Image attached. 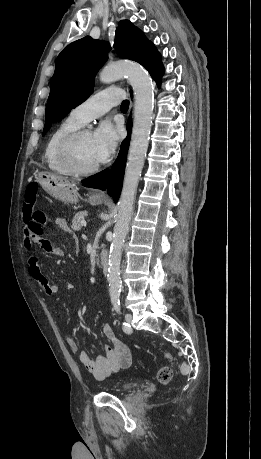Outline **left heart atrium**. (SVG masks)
Instances as JSON below:
<instances>
[{"instance_id":"obj_1","label":"left heart atrium","mask_w":261,"mask_h":459,"mask_svg":"<svg viewBox=\"0 0 261 459\" xmlns=\"http://www.w3.org/2000/svg\"><path fill=\"white\" fill-rule=\"evenodd\" d=\"M120 138V130L110 121H103L93 133V143L98 163L107 162L113 155Z\"/></svg>"}]
</instances>
